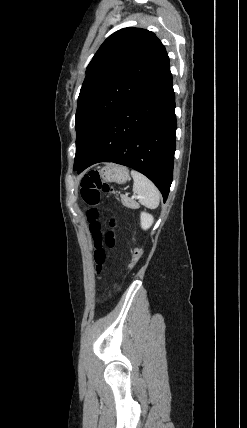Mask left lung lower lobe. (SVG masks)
Listing matches in <instances>:
<instances>
[{
	"instance_id": "0a47b994",
	"label": "left lung lower lobe",
	"mask_w": 247,
	"mask_h": 428,
	"mask_svg": "<svg viewBox=\"0 0 247 428\" xmlns=\"http://www.w3.org/2000/svg\"><path fill=\"white\" fill-rule=\"evenodd\" d=\"M175 94L169 63L126 98L109 119L78 173L98 162H114L147 176L166 201L173 177Z\"/></svg>"
}]
</instances>
